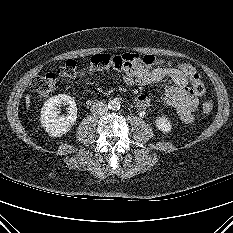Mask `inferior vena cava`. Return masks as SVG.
I'll return each instance as SVG.
<instances>
[{"label": "inferior vena cava", "instance_id": "inferior-vena-cava-1", "mask_svg": "<svg viewBox=\"0 0 233 233\" xmlns=\"http://www.w3.org/2000/svg\"><path fill=\"white\" fill-rule=\"evenodd\" d=\"M91 111L95 115H104L108 111V106L106 103L101 101H96L92 107Z\"/></svg>", "mask_w": 233, "mask_h": 233}]
</instances>
